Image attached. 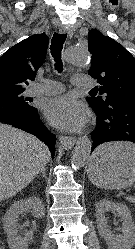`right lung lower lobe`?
<instances>
[{
  "label": "right lung lower lobe",
  "instance_id": "98d812e1",
  "mask_svg": "<svg viewBox=\"0 0 135 249\" xmlns=\"http://www.w3.org/2000/svg\"><path fill=\"white\" fill-rule=\"evenodd\" d=\"M0 122L7 123L40 138L55 154L56 136L44 126L38 111L33 106H23L17 102L0 99Z\"/></svg>",
  "mask_w": 135,
  "mask_h": 249
}]
</instances>
